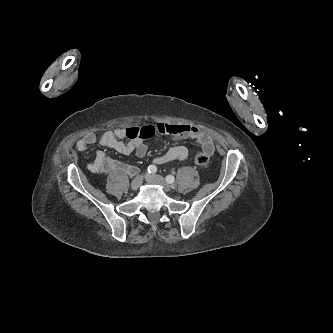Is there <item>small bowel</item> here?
Here are the masks:
<instances>
[{"instance_id":"obj_1","label":"small bowel","mask_w":333,"mask_h":333,"mask_svg":"<svg viewBox=\"0 0 333 333\" xmlns=\"http://www.w3.org/2000/svg\"><path fill=\"white\" fill-rule=\"evenodd\" d=\"M156 134L176 139H194L201 145L202 152L209 157L215 150L212 137L200 128L188 124L170 123H158L155 126L129 127L107 131L99 139L94 133H88L76 143V148L79 151H84L99 141L102 146L113 149L123 155L134 153L138 157H144L147 153V146L143 140L151 138ZM187 156V148L177 145L156 157L154 162L156 164H165L175 160H184ZM117 168L126 172L132 171L130 166L118 164L108 159L103 151L97 152L95 161L92 164L93 172L98 173L101 170L111 172Z\"/></svg>"}]
</instances>
